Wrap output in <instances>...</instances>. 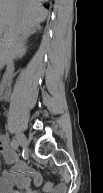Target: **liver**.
Returning a JSON list of instances; mask_svg holds the SVG:
<instances>
[{
  "label": "liver",
  "mask_w": 103,
  "mask_h": 193,
  "mask_svg": "<svg viewBox=\"0 0 103 193\" xmlns=\"http://www.w3.org/2000/svg\"><path fill=\"white\" fill-rule=\"evenodd\" d=\"M46 16L47 11L39 0H0V30L5 41L2 65L26 53L25 40L40 27ZM16 27L17 33L13 31Z\"/></svg>",
  "instance_id": "liver-1"
}]
</instances>
